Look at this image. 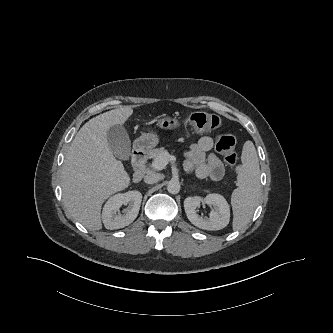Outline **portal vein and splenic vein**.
Masks as SVG:
<instances>
[{
  "instance_id": "18ae733b",
  "label": "portal vein and splenic vein",
  "mask_w": 333,
  "mask_h": 333,
  "mask_svg": "<svg viewBox=\"0 0 333 333\" xmlns=\"http://www.w3.org/2000/svg\"><path fill=\"white\" fill-rule=\"evenodd\" d=\"M175 160V156L165 153L153 161L152 168L155 170H162L169 162H175Z\"/></svg>"
}]
</instances>
